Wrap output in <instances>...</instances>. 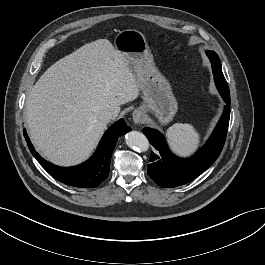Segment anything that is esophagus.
Here are the masks:
<instances>
[{
    "instance_id": "esophagus-1",
    "label": "esophagus",
    "mask_w": 265,
    "mask_h": 265,
    "mask_svg": "<svg viewBox=\"0 0 265 265\" xmlns=\"http://www.w3.org/2000/svg\"><path fill=\"white\" fill-rule=\"evenodd\" d=\"M132 118L135 124H140L144 120V113L141 110L136 109L132 113Z\"/></svg>"
}]
</instances>
